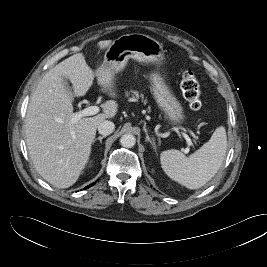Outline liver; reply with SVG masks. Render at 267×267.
Listing matches in <instances>:
<instances>
[{
  "label": "liver",
  "instance_id": "liver-1",
  "mask_svg": "<svg viewBox=\"0 0 267 267\" xmlns=\"http://www.w3.org/2000/svg\"><path fill=\"white\" fill-rule=\"evenodd\" d=\"M111 44L106 40L97 46L106 49ZM95 77L102 92L116 96L115 73L104 62L94 72L83 53L50 69L31 94L25 120L27 149L37 172L57 188H68L78 180L89 161L98 126L118 111L114 100L106 101L102 113L72 123V101L86 95ZM65 80L72 84L71 91Z\"/></svg>",
  "mask_w": 267,
  "mask_h": 267
}]
</instances>
